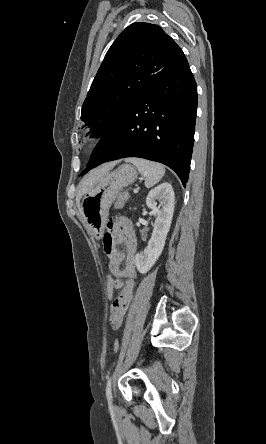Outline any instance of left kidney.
<instances>
[{"label": "left kidney", "mask_w": 266, "mask_h": 444, "mask_svg": "<svg viewBox=\"0 0 266 444\" xmlns=\"http://www.w3.org/2000/svg\"><path fill=\"white\" fill-rule=\"evenodd\" d=\"M157 201L160 202L161 209L157 207ZM174 204V190L170 183H162L148 193L146 205L157 215V218L148 246L142 253L136 254L135 257L137 270L142 274L151 269L163 251L172 222Z\"/></svg>", "instance_id": "left-kidney-1"}]
</instances>
